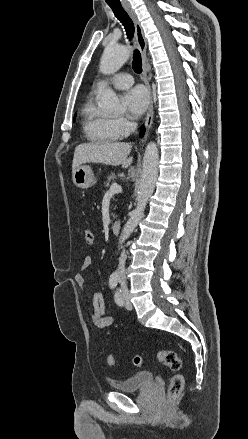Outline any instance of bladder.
<instances>
[{
  "label": "bladder",
  "instance_id": "31cf9c89",
  "mask_svg": "<svg viewBox=\"0 0 248 439\" xmlns=\"http://www.w3.org/2000/svg\"><path fill=\"white\" fill-rule=\"evenodd\" d=\"M111 387L119 392H135L153 384L150 371H139L124 379L111 381Z\"/></svg>",
  "mask_w": 248,
  "mask_h": 439
}]
</instances>
